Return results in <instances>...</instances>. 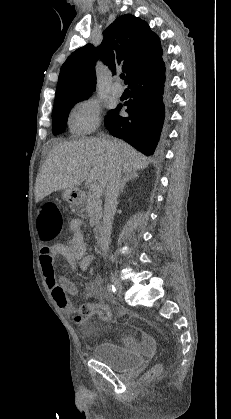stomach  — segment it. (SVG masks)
<instances>
[{"label": "stomach", "mask_w": 231, "mask_h": 419, "mask_svg": "<svg viewBox=\"0 0 231 419\" xmlns=\"http://www.w3.org/2000/svg\"><path fill=\"white\" fill-rule=\"evenodd\" d=\"M62 198L72 205H79L82 199L81 193L77 188L65 189L62 192Z\"/></svg>", "instance_id": "1"}]
</instances>
